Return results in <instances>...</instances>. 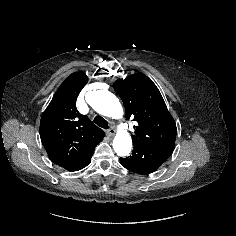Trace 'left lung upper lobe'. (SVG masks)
Segmentation results:
<instances>
[{"mask_svg":"<svg viewBox=\"0 0 236 236\" xmlns=\"http://www.w3.org/2000/svg\"><path fill=\"white\" fill-rule=\"evenodd\" d=\"M125 106L126 119L136 122L133 144L175 145L176 123L153 81L133 74L114 83Z\"/></svg>","mask_w":236,"mask_h":236,"instance_id":"obj_1","label":"left lung upper lobe"}]
</instances>
